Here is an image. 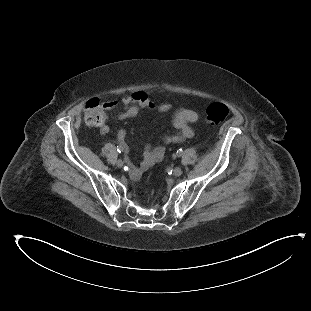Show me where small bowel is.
I'll list each match as a JSON object with an SVG mask.
<instances>
[{"instance_id": "small-bowel-1", "label": "small bowel", "mask_w": 311, "mask_h": 311, "mask_svg": "<svg viewBox=\"0 0 311 311\" xmlns=\"http://www.w3.org/2000/svg\"><path fill=\"white\" fill-rule=\"evenodd\" d=\"M105 109L110 110L121 106L123 111L117 115V120L124 121L135 117L143 109L155 110L159 113H168L172 110V105L169 103L155 104L145 93L137 92L131 95L124 96L120 99L106 100L103 103ZM199 120L197 112L189 109H179L173 117V125L175 132L167 135L164 139V145L155 147L147 146L145 148L142 161L135 169L134 174L140 175L151 168L154 164L160 162L165 153L166 145L181 143L184 140L193 137L194 131L190 124ZM110 128L107 124L100 126V133L107 135ZM126 132L120 129L117 132V140L121 145H125Z\"/></svg>"}]
</instances>
